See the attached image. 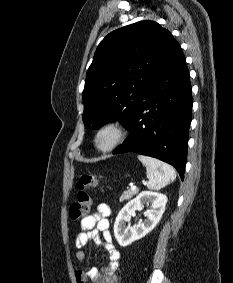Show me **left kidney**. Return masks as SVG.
Segmentation results:
<instances>
[{"instance_id": "obj_1", "label": "left kidney", "mask_w": 233, "mask_h": 283, "mask_svg": "<svg viewBox=\"0 0 233 283\" xmlns=\"http://www.w3.org/2000/svg\"><path fill=\"white\" fill-rule=\"evenodd\" d=\"M149 203H151V209L147 213V218L132 227L131 216L136 210H142L144 205ZM166 203V195L149 191L141 192L135 199L128 202L119 212L114 224V235L119 245L128 246L151 232L160 221Z\"/></svg>"}]
</instances>
